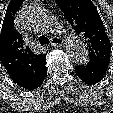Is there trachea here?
<instances>
[{"mask_svg": "<svg viewBox=\"0 0 113 113\" xmlns=\"http://www.w3.org/2000/svg\"><path fill=\"white\" fill-rule=\"evenodd\" d=\"M39 42L42 46L49 44V39L45 37L44 35L39 37Z\"/></svg>", "mask_w": 113, "mask_h": 113, "instance_id": "1", "label": "trachea"}]
</instances>
